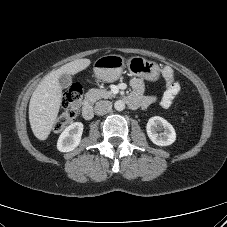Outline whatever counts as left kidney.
I'll return each mask as SVG.
<instances>
[{"label": "left kidney", "instance_id": "5707ae66", "mask_svg": "<svg viewBox=\"0 0 227 227\" xmlns=\"http://www.w3.org/2000/svg\"><path fill=\"white\" fill-rule=\"evenodd\" d=\"M163 130V133L157 131ZM147 135L150 140L158 146H168L175 142L176 132L173 126L164 118L151 117L146 125Z\"/></svg>", "mask_w": 227, "mask_h": 227}]
</instances>
